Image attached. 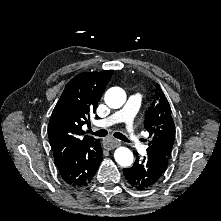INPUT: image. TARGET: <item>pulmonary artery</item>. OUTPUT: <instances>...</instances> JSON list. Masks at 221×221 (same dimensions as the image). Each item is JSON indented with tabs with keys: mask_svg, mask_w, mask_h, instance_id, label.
<instances>
[{
	"mask_svg": "<svg viewBox=\"0 0 221 221\" xmlns=\"http://www.w3.org/2000/svg\"><path fill=\"white\" fill-rule=\"evenodd\" d=\"M142 95L140 93H135L131 95L128 99L126 105L119 111L111 114L110 116L102 119L99 122L100 127H109L116 123H124L125 133L128 136L131 144L140 150L142 154H145V148L141 142L139 135L136 132V127L134 124V115L137 108L140 105Z\"/></svg>",
	"mask_w": 221,
	"mask_h": 221,
	"instance_id": "pulmonary-artery-1",
	"label": "pulmonary artery"
}]
</instances>
